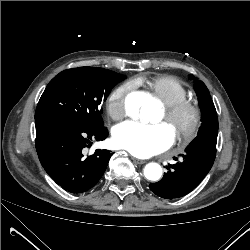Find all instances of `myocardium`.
<instances>
[{
  "mask_svg": "<svg viewBox=\"0 0 250 250\" xmlns=\"http://www.w3.org/2000/svg\"><path fill=\"white\" fill-rule=\"evenodd\" d=\"M185 117L188 120L183 124ZM164 122L172 129V134L180 146L185 147L199 132L202 110L196 101L185 97L173 104L164 105Z\"/></svg>",
  "mask_w": 250,
  "mask_h": 250,
  "instance_id": "1",
  "label": "myocardium"
}]
</instances>
